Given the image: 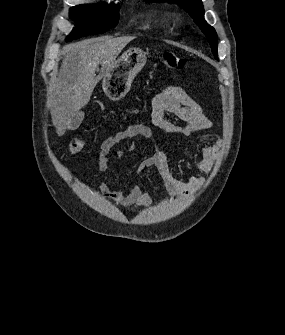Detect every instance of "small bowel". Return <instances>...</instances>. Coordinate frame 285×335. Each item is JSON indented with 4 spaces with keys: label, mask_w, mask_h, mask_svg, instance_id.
<instances>
[{
    "label": "small bowel",
    "mask_w": 285,
    "mask_h": 335,
    "mask_svg": "<svg viewBox=\"0 0 285 335\" xmlns=\"http://www.w3.org/2000/svg\"><path fill=\"white\" fill-rule=\"evenodd\" d=\"M167 113L174 115L181 123L166 118ZM150 117L152 124L160 132L172 136L187 137L212 126V121L205 114L203 107L176 85L165 86L153 98ZM138 137L152 143L153 153L138 163L136 171L139 173L146 168L156 169L171 199L190 196L203 185L205 181L203 177L196 176L184 179L173 173L169 163L168 151L159 146L152 129L143 123L131 124L106 139L102 143L98 155L99 165L107 164L110 160L112 148L123 141L132 140L128 146L117 152L116 159L119 160L133 151L136 148V143L133 140ZM219 147V142H212L202 146L197 154L192 153L187 147L184 148V153L193 160L199 171L208 173L213 167ZM99 190L106 198L125 208L131 205L146 208L151 201L150 194L139 185H134L129 190H112L108 184L100 183Z\"/></svg>",
    "instance_id": "small-bowel-1"
}]
</instances>
